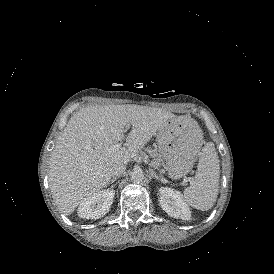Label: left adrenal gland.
I'll use <instances>...</instances> for the list:
<instances>
[{
    "label": "left adrenal gland",
    "mask_w": 274,
    "mask_h": 274,
    "mask_svg": "<svg viewBox=\"0 0 274 274\" xmlns=\"http://www.w3.org/2000/svg\"><path fill=\"white\" fill-rule=\"evenodd\" d=\"M149 171H150V175H151L152 178L157 179V180H159V181H161V182H164V181H163V178L159 177V176L155 173L154 170L149 169Z\"/></svg>",
    "instance_id": "a2214340"
}]
</instances>
